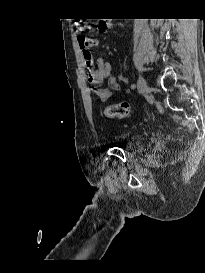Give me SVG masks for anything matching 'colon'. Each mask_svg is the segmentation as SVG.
Listing matches in <instances>:
<instances>
[{"label": "colon", "instance_id": "1", "mask_svg": "<svg viewBox=\"0 0 205 273\" xmlns=\"http://www.w3.org/2000/svg\"><path fill=\"white\" fill-rule=\"evenodd\" d=\"M90 29V23L83 20L75 21V30L79 35L83 36V34L87 33ZM130 111L131 107L127 102H117L106 107L105 115L108 118H125L129 116Z\"/></svg>", "mask_w": 205, "mask_h": 273}]
</instances>
